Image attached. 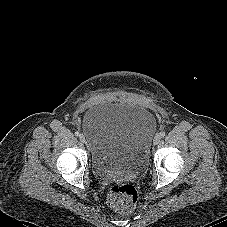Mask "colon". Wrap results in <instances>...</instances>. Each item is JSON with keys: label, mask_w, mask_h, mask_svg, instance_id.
<instances>
[{"label": "colon", "mask_w": 227, "mask_h": 227, "mask_svg": "<svg viewBox=\"0 0 227 227\" xmlns=\"http://www.w3.org/2000/svg\"><path fill=\"white\" fill-rule=\"evenodd\" d=\"M139 194L129 183H115L110 187L107 200L112 209L120 214L131 213L136 206Z\"/></svg>", "instance_id": "1"}]
</instances>
